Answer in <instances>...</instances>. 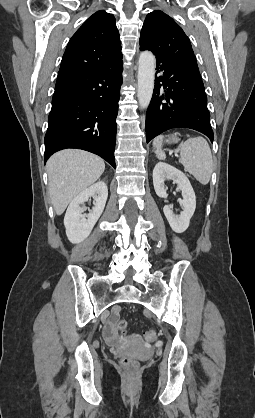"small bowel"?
<instances>
[{
  "label": "small bowel",
  "instance_id": "c3829d8e",
  "mask_svg": "<svg viewBox=\"0 0 255 418\" xmlns=\"http://www.w3.org/2000/svg\"><path fill=\"white\" fill-rule=\"evenodd\" d=\"M117 314H119V309L115 308L114 309V315H113V321L115 320V315H117ZM116 337H117L116 331H115L112 323H110L105 328V338L108 342H113V341H115Z\"/></svg>",
  "mask_w": 255,
  "mask_h": 418
}]
</instances>
